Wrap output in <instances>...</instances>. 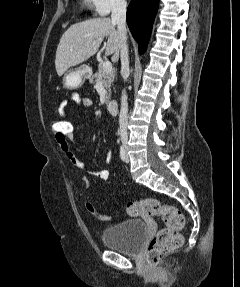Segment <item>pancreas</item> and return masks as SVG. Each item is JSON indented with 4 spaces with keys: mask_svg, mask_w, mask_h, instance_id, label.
<instances>
[{
    "mask_svg": "<svg viewBox=\"0 0 240 287\" xmlns=\"http://www.w3.org/2000/svg\"><path fill=\"white\" fill-rule=\"evenodd\" d=\"M115 78V70H111L109 72H105L103 70V66L99 65L98 66V71L89 77V81L91 83H95L99 80L102 81L105 89L108 90V95L105 96V102L108 103L110 100V95H111V86L113 85Z\"/></svg>",
    "mask_w": 240,
    "mask_h": 287,
    "instance_id": "pancreas-1",
    "label": "pancreas"
}]
</instances>
